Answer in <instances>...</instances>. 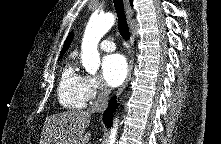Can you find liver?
Here are the masks:
<instances>
[{"label":"liver","instance_id":"1","mask_svg":"<svg viewBox=\"0 0 221 144\" xmlns=\"http://www.w3.org/2000/svg\"><path fill=\"white\" fill-rule=\"evenodd\" d=\"M91 120L88 111H67L46 117L41 144H87L91 132L85 133Z\"/></svg>","mask_w":221,"mask_h":144}]
</instances>
